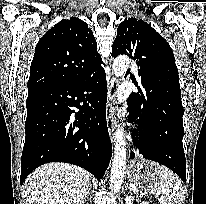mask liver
<instances>
[{"label":"liver","instance_id":"liver-1","mask_svg":"<svg viewBox=\"0 0 206 204\" xmlns=\"http://www.w3.org/2000/svg\"><path fill=\"white\" fill-rule=\"evenodd\" d=\"M90 173L67 163H48L35 169L23 184L27 204H82Z\"/></svg>","mask_w":206,"mask_h":204}]
</instances>
